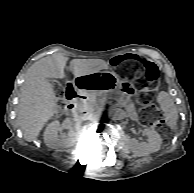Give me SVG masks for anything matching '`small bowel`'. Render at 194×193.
I'll return each instance as SVG.
<instances>
[{
    "label": "small bowel",
    "instance_id": "1",
    "mask_svg": "<svg viewBox=\"0 0 194 193\" xmlns=\"http://www.w3.org/2000/svg\"><path fill=\"white\" fill-rule=\"evenodd\" d=\"M126 105H127V107H129V109H130V106H129V104H127V103H126Z\"/></svg>",
    "mask_w": 194,
    "mask_h": 193
}]
</instances>
